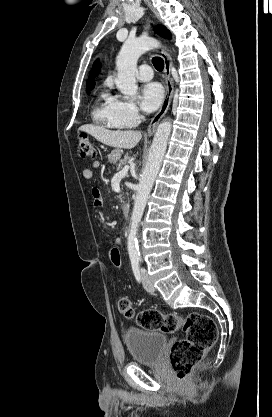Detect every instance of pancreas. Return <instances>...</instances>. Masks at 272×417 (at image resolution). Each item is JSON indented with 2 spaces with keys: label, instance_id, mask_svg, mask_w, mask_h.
Masks as SVG:
<instances>
[{
  "label": "pancreas",
  "instance_id": "obj_1",
  "mask_svg": "<svg viewBox=\"0 0 272 417\" xmlns=\"http://www.w3.org/2000/svg\"><path fill=\"white\" fill-rule=\"evenodd\" d=\"M130 155L129 154H126L125 156H124V158L123 159H121L120 160V162L117 164V170H120V169H122V167L124 166V165H126V163H127V161L128 160H130ZM120 200H122V195H119V197H118Z\"/></svg>",
  "mask_w": 272,
  "mask_h": 417
}]
</instances>
